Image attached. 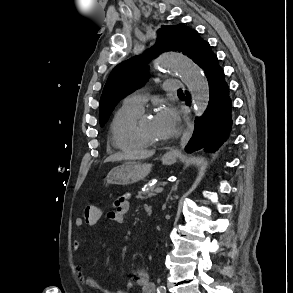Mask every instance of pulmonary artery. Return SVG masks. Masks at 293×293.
Wrapping results in <instances>:
<instances>
[{"label": "pulmonary artery", "instance_id": "1", "mask_svg": "<svg viewBox=\"0 0 293 293\" xmlns=\"http://www.w3.org/2000/svg\"><path fill=\"white\" fill-rule=\"evenodd\" d=\"M182 82L179 80H167L164 82L163 84V89L165 91H177L182 87ZM147 101V96L144 93H133L131 95H129L124 103L126 105H130V106H134L140 109H143L144 104Z\"/></svg>", "mask_w": 293, "mask_h": 293}]
</instances>
